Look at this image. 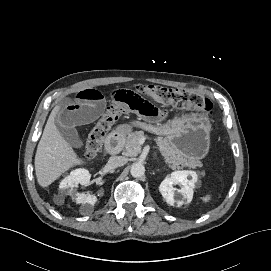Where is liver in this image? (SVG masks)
<instances>
[{
  "mask_svg": "<svg viewBox=\"0 0 271 271\" xmlns=\"http://www.w3.org/2000/svg\"><path fill=\"white\" fill-rule=\"evenodd\" d=\"M61 109L56 105L45 125L35 155V172L39 185L48 187L64 172L76 165L85 164L62 137L56 126V117Z\"/></svg>",
  "mask_w": 271,
  "mask_h": 271,
  "instance_id": "1",
  "label": "liver"
}]
</instances>
